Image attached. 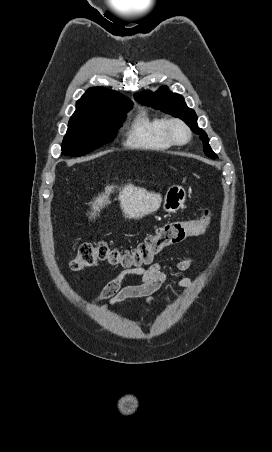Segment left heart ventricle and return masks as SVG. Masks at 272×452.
Returning a JSON list of instances; mask_svg holds the SVG:
<instances>
[{
    "label": "left heart ventricle",
    "mask_w": 272,
    "mask_h": 452,
    "mask_svg": "<svg viewBox=\"0 0 272 452\" xmlns=\"http://www.w3.org/2000/svg\"><path fill=\"white\" fill-rule=\"evenodd\" d=\"M176 134H177V136H178L179 138H183V136H184L183 131H182L181 129H179V128L176 130Z\"/></svg>",
    "instance_id": "obj_1"
}]
</instances>
